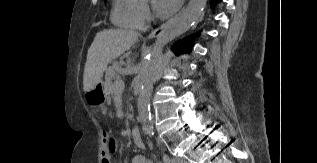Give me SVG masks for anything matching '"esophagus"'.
Returning <instances> with one entry per match:
<instances>
[{"label":"esophagus","instance_id":"34e87169","mask_svg":"<svg viewBox=\"0 0 317 163\" xmlns=\"http://www.w3.org/2000/svg\"><path fill=\"white\" fill-rule=\"evenodd\" d=\"M180 14V13H179ZM179 14L169 19L167 22L163 23L161 26L154 29L147 37V39L151 40L159 37L164 33V31L178 18Z\"/></svg>","mask_w":317,"mask_h":163}]
</instances>
